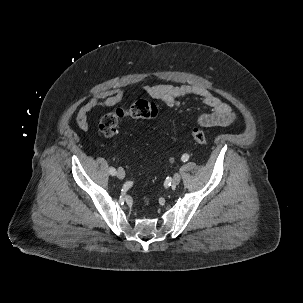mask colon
Returning a JSON list of instances; mask_svg holds the SVG:
<instances>
[{
	"instance_id": "1",
	"label": "colon",
	"mask_w": 303,
	"mask_h": 303,
	"mask_svg": "<svg viewBox=\"0 0 303 303\" xmlns=\"http://www.w3.org/2000/svg\"><path fill=\"white\" fill-rule=\"evenodd\" d=\"M158 116L157 106L145 99L135 101L128 108H117L103 115L99 121V131L108 138H115L119 135V122L128 117L141 119H154ZM194 141L200 145L207 143V136L202 128L194 127L191 130Z\"/></svg>"
}]
</instances>
